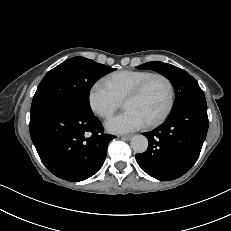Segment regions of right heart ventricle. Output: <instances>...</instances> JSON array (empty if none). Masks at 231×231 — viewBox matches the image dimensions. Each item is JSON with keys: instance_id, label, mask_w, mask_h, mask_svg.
<instances>
[{"instance_id": "obj_1", "label": "right heart ventricle", "mask_w": 231, "mask_h": 231, "mask_svg": "<svg viewBox=\"0 0 231 231\" xmlns=\"http://www.w3.org/2000/svg\"><path fill=\"white\" fill-rule=\"evenodd\" d=\"M153 72L146 70H122L108 75L105 84L109 89L123 101L145 79Z\"/></svg>"}]
</instances>
